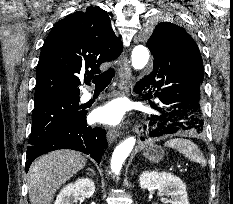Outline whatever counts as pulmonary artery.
<instances>
[{"label": "pulmonary artery", "mask_w": 233, "mask_h": 204, "mask_svg": "<svg viewBox=\"0 0 233 204\" xmlns=\"http://www.w3.org/2000/svg\"><path fill=\"white\" fill-rule=\"evenodd\" d=\"M92 96H93L92 93H90V92H84V93L81 95L80 100H81L82 102H87V101H89V100L92 98Z\"/></svg>", "instance_id": "pulmonary-artery-1"}]
</instances>
